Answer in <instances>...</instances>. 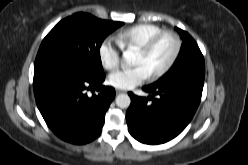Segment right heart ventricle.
<instances>
[{"mask_svg":"<svg viewBox=\"0 0 248 165\" xmlns=\"http://www.w3.org/2000/svg\"><path fill=\"white\" fill-rule=\"evenodd\" d=\"M163 32V29L154 24H137L121 30L115 39L122 49H139L150 38Z\"/></svg>","mask_w":248,"mask_h":165,"instance_id":"right-heart-ventricle-1","label":"right heart ventricle"}]
</instances>
